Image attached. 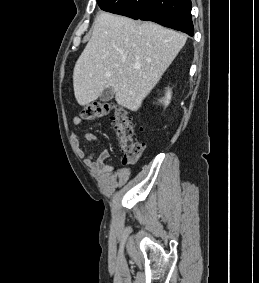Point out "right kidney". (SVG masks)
Wrapping results in <instances>:
<instances>
[{"label": "right kidney", "instance_id": "ca27d5eb", "mask_svg": "<svg viewBox=\"0 0 259 283\" xmlns=\"http://www.w3.org/2000/svg\"><path fill=\"white\" fill-rule=\"evenodd\" d=\"M170 99H171V90L168 89L165 98L161 100V102H163L164 105L167 106L170 103Z\"/></svg>", "mask_w": 259, "mask_h": 283}]
</instances>
